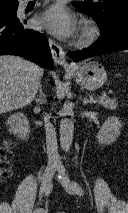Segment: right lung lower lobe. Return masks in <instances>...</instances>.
Masks as SVG:
<instances>
[{
    "instance_id": "right-lung-lower-lobe-1",
    "label": "right lung lower lobe",
    "mask_w": 128,
    "mask_h": 213,
    "mask_svg": "<svg viewBox=\"0 0 128 213\" xmlns=\"http://www.w3.org/2000/svg\"><path fill=\"white\" fill-rule=\"evenodd\" d=\"M26 20L0 15V55L28 58L42 67L53 69V61L44 34L25 28Z\"/></svg>"
}]
</instances>
